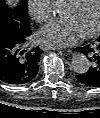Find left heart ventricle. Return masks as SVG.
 Wrapping results in <instances>:
<instances>
[{"label":"left heart ventricle","mask_w":100,"mask_h":118,"mask_svg":"<svg viewBox=\"0 0 100 118\" xmlns=\"http://www.w3.org/2000/svg\"><path fill=\"white\" fill-rule=\"evenodd\" d=\"M65 17L73 19L83 33L95 28L99 17V0H84L79 6L69 4Z\"/></svg>","instance_id":"left-heart-ventricle-1"}]
</instances>
